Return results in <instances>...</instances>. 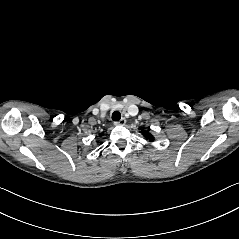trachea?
I'll return each mask as SVG.
<instances>
[{
    "label": "trachea",
    "mask_w": 239,
    "mask_h": 239,
    "mask_svg": "<svg viewBox=\"0 0 239 239\" xmlns=\"http://www.w3.org/2000/svg\"><path fill=\"white\" fill-rule=\"evenodd\" d=\"M121 119V114L118 111L113 112L112 114V120L113 121H119Z\"/></svg>",
    "instance_id": "1"
}]
</instances>
